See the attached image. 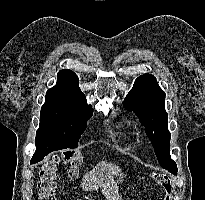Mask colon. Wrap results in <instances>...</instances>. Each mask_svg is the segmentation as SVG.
<instances>
[{"label": "colon", "mask_w": 205, "mask_h": 200, "mask_svg": "<svg viewBox=\"0 0 205 200\" xmlns=\"http://www.w3.org/2000/svg\"><path fill=\"white\" fill-rule=\"evenodd\" d=\"M63 161L68 165L69 177L74 179L78 174V168L82 162V155L77 149H66L60 155L48 160L42 166L40 171V200H55V193L57 188V175L60 162ZM154 179L160 187L166 192L165 200H169V193L171 192V183L169 178L160 173L153 174Z\"/></svg>", "instance_id": "obj_1"}]
</instances>
